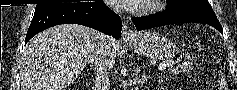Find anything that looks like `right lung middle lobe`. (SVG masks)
I'll return each instance as SVG.
<instances>
[{"mask_svg":"<svg viewBox=\"0 0 237 90\" xmlns=\"http://www.w3.org/2000/svg\"><path fill=\"white\" fill-rule=\"evenodd\" d=\"M54 5H57V4H44V3L43 4H37L35 10L43 9V8L54 6Z\"/></svg>","mask_w":237,"mask_h":90,"instance_id":"1","label":"right lung middle lobe"}]
</instances>
